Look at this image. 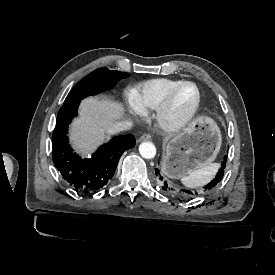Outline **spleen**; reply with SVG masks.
Instances as JSON below:
<instances>
[{"label":"spleen","mask_w":275,"mask_h":275,"mask_svg":"<svg viewBox=\"0 0 275 275\" xmlns=\"http://www.w3.org/2000/svg\"><path fill=\"white\" fill-rule=\"evenodd\" d=\"M218 163L208 164L198 170L191 171L181 178V182L188 188H196L207 184L217 173Z\"/></svg>","instance_id":"3e777b00"}]
</instances>
